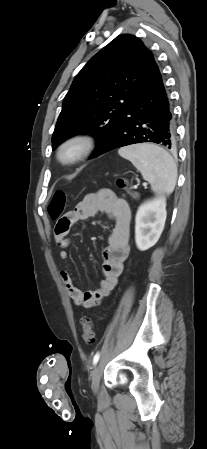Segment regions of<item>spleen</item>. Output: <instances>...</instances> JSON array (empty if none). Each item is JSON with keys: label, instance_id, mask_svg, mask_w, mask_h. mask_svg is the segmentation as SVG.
Here are the masks:
<instances>
[{"label": "spleen", "instance_id": "spleen-1", "mask_svg": "<svg viewBox=\"0 0 207 449\" xmlns=\"http://www.w3.org/2000/svg\"><path fill=\"white\" fill-rule=\"evenodd\" d=\"M121 157L129 160L140 171L144 180L151 184L153 192L170 195L177 181V166L172 156L163 148L142 143L118 150Z\"/></svg>", "mask_w": 207, "mask_h": 449}]
</instances>
